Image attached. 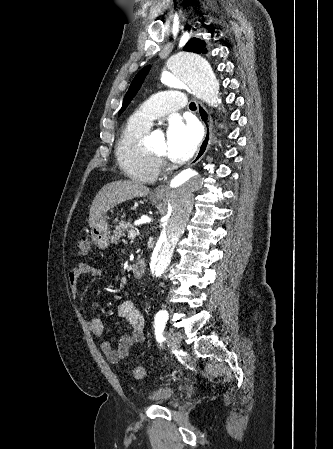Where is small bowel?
<instances>
[{
	"label": "small bowel",
	"mask_w": 333,
	"mask_h": 449,
	"mask_svg": "<svg viewBox=\"0 0 333 449\" xmlns=\"http://www.w3.org/2000/svg\"><path fill=\"white\" fill-rule=\"evenodd\" d=\"M85 274H91L93 277H100L103 274L102 269L88 263H79L68 274V283L73 295H76L79 290V279ZM118 315L123 318L129 328V332H124L118 342L117 348H113L108 340L100 342V349L105 354L108 361L111 363H118L123 360L130 352V350L145 341L144 317L139 309L132 301L125 300L117 306ZM90 332L102 337L105 332L103 322L95 317L88 321Z\"/></svg>",
	"instance_id": "c3829d8e"
}]
</instances>
